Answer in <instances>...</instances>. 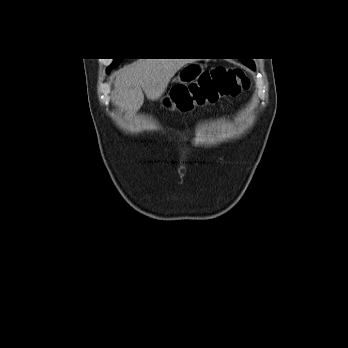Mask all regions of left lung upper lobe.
<instances>
[{
  "label": "left lung upper lobe",
  "instance_id": "5c2ea615",
  "mask_svg": "<svg viewBox=\"0 0 348 348\" xmlns=\"http://www.w3.org/2000/svg\"><path fill=\"white\" fill-rule=\"evenodd\" d=\"M241 62L245 64L247 67L251 68L252 70H255V65L253 61H251L250 59H244V60H241Z\"/></svg>",
  "mask_w": 348,
  "mask_h": 348
}]
</instances>
